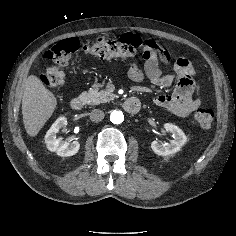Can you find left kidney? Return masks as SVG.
<instances>
[{
  "label": "left kidney",
  "instance_id": "left-kidney-1",
  "mask_svg": "<svg viewBox=\"0 0 236 236\" xmlns=\"http://www.w3.org/2000/svg\"><path fill=\"white\" fill-rule=\"evenodd\" d=\"M164 128L173 134V139L169 143L161 144L158 141L151 143V148L157 155L168 156L178 152L181 147L187 142V136L176 125L166 123Z\"/></svg>",
  "mask_w": 236,
  "mask_h": 236
}]
</instances>
